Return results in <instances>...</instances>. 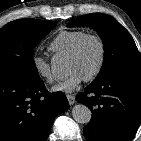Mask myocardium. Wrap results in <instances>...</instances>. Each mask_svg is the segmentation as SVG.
<instances>
[{"instance_id": "f54148a6", "label": "myocardium", "mask_w": 141, "mask_h": 141, "mask_svg": "<svg viewBox=\"0 0 141 141\" xmlns=\"http://www.w3.org/2000/svg\"><path fill=\"white\" fill-rule=\"evenodd\" d=\"M91 40L95 41L98 44L99 50H100V57H99V62L96 69L89 76L84 78L86 82L95 80L101 74L104 68L105 61H106V46L103 39L96 34H86L84 37H82L79 40V42L75 45L73 50L68 55V58H77L82 52L86 43Z\"/></svg>"}]
</instances>
